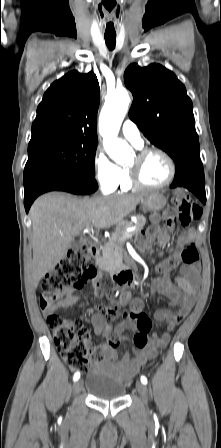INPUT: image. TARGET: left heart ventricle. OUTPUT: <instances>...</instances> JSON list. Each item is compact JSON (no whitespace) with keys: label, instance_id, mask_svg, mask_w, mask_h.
Masks as SVG:
<instances>
[{"label":"left heart ventricle","instance_id":"b2bd125f","mask_svg":"<svg viewBox=\"0 0 221 448\" xmlns=\"http://www.w3.org/2000/svg\"><path fill=\"white\" fill-rule=\"evenodd\" d=\"M138 164L135 157L130 166ZM140 174L143 180L152 185L164 183L170 175V168L166 160L157 153L150 154L140 163Z\"/></svg>","mask_w":221,"mask_h":448}]
</instances>
